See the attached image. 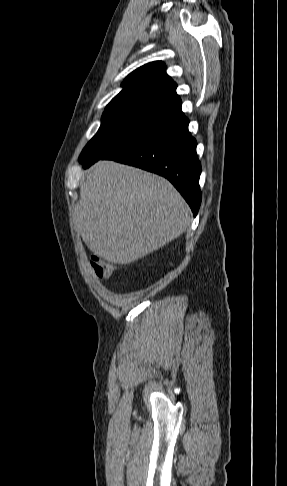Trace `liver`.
<instances>
[{
  "label": "liver",
  "instance_id": "liver-1",
  "mask_svg": "<svg viewBox=\"0 0 287 486\" xmlns=\"http://www.w3.org/2000/svg\"><path fill=\"white\" fill-rule=\"evenodd\" d=\"M189 207L166 179L99 161L80 185L75 224L88 248L126 265L163 247L189 227Z\"/></svg>",
  "mask_w": 287,
  "mask_h": 486
}]
</instances>
